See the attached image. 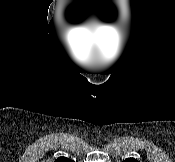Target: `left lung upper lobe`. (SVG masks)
I'll return each mask as SVG.
<instances>
[{
    "label": "left lung upper lobe",
    "instance_id": "obj_1",
    "mask_svg": "<svg viewBox=\"0 0 175 162\" xmlns=\"http://www.w3.org/2000/svg\"><path fill=\"white\" fill-rule=\"evenodd\" d=\"M123 162H138L135 158H127Z\"/></svg>",
    "mask_w": 175,
    "mask_h": 162
}]
</instances>
